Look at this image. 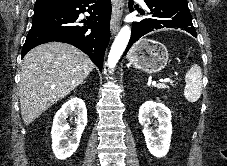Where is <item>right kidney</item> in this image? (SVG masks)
I'll list each match as a JSON object with an SVG mask.
<instances>
[{
  "instance_id": "right-kidney-1",
  "label": "right kidney",
  "mask_w": 227,
  "mask_h": 166,
  "mask_svg": "<svg viewBox=\"0 0 227 166\" xmlns=\"http://www.w3.org/2000/svg\"><path fill=\"white\" fill-rule=\"evenodd\" d=\"M71 115L77 116L72 136L68 133L70 126L67 123V118ZM86 125L87 109L84 101L80 98L70 99L57 111L53 120L51 135L52 149L58 159L65 160L77 150Z\"/></svg>"
}]
</instances>
